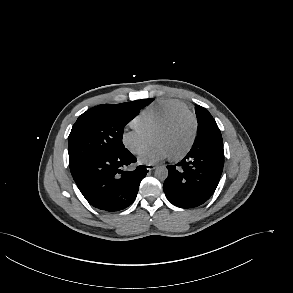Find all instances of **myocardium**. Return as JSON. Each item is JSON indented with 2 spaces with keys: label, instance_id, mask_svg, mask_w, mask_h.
<instances>
[{
  "label": "myocardium",
  "instance_id": "myocardium-1",
  "mask_svg": "<svg viewBox=\"0 0 293 293\" xmlns=\"http://www.w3.org/2000/svg\"><path fill=\"white\" fill-rule=\"evenodd\" d=\"M183 118H189L192 122V137H191V140H190L188 146L182 152H180L177 155L171 156V159L174 161H178V160H181L184 157H186L190 153V151L192 150V148L196 142L197 134H198V120H197V117L195 116V114L189 110L178 112V113L172 115L169 119H167L161 125H159L155 129V131L152 133V136H153L157 132L169 129L175 123H177L179 120H181Z\"/></svg>",
  "mask_w": 293,
  "mask_h": 293
}]
</instances>
